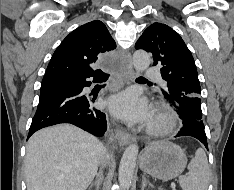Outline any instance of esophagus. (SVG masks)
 Returning a JSON list of instances; mask_svg holds the SVG:
<instances>
[{"instance_id": "34e87169", "label": "esophagus", "mask_w": 234, "mask_h": 190, "mask_svg": "<svg viewBox=\"0 0 234 190\" xmlns=\"http://www.w3.org/2000/svg\"><path fill=\"white\" fill-rule=\"evenodd\" d=\"M133 76H134V70H133L132 66L129 65L128 68H127L125 81L129 82L132 79ZM116 136H117L118 142H119V144L121 146L128 145L132 140L131 134L129 132H127L126 130H124L123 128H121V127L117 128Z\"/></svg>"}]
</instances>
